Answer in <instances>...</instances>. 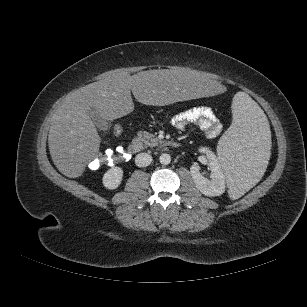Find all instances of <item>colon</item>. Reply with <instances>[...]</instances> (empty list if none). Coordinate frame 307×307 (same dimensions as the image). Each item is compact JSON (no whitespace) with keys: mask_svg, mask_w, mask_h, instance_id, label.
I'll return each instance as SVG.
<instances>
[{"mask_svg":"<svg viewBox=\"0 0 307 307\" xmlns=\"http://www.w3.org/2000/svg\"><path fill=\"white\" fill-rule=\"evenodd\" d=\"M123 133V127L121 125H115L113 127V134L120 136ZM127 153V149L124 144H119L113 149H108L99 153L95 158L89 161V167L93 170L100 169L104 166H114L118 162L122 161Z\"/></svg>","mask_w":307,"mask_h":307,"instance_id":"colon-1","label":"colon"}]
</instances>
